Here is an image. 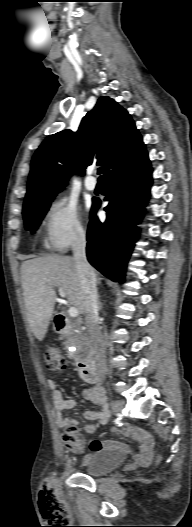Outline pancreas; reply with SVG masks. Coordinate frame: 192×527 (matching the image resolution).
<instances>
[{
  "instance_id": "obj_1",
  "label": "pancreas",
  "mask_w": 192,
  "mask_h": 527,
  "mask_svg": "<svg viewBox=\"0 0 192 527\" xmlns=\"http://www.w3.org/2000/svg\"><path fill=\"white\" fill-rule=\"evenodd\" d=\"M71 341L75 344H79L82 341V335L79 333H72Z\"/></svg>"
}]
</instances>
